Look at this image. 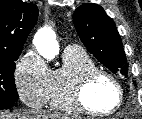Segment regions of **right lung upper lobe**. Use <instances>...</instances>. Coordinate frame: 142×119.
I'll use <instances>...</instances> for the list:
<instances>
[{"mask_svg": "<svg viewBox=\"0 0 142 119\" xmlns=\"http://www.w3.org/2000/svg\"><path fill=\"white\" fill-rule=\"evenodd\" d=\"M38 8L21 0H0V56L21 53L37 22Z\"/></svg>", "mask_w": 142, "mask_h": 119, "instance_id": "right-lung-upper-lobe-1", "label": "right lung upper lobe"}]
</instances>
